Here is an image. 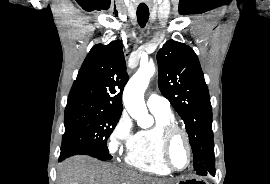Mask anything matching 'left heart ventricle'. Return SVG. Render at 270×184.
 I'll list each match as a JSON object with an SVG mask.
<instances>
[{
	"mask_svg": "<svg viewBox=\"0 0 270 184\" xmlns=\"http://www.w3.org/2000/svg\"><path fill=\"white\" fill-rule=\"evenodd\" d=\"M169 157L176 168H183L188 162V151L185 141L181 135H177L170 147Z\"/></svg>",
	"mask_w": 270,
	"mask_h": 184,
	"instance_id": "left-heart-ventricle-1",
	"label": "left heart ventricle"
}]
</instances>
